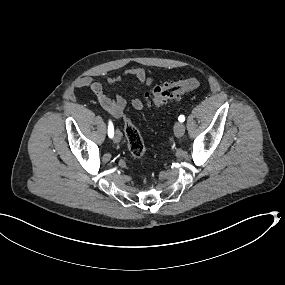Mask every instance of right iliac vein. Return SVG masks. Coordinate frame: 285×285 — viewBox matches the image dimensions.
I'll list each match as a JSON object with an SVG mask.
<instances>
[{
  "instance_id": "right-iliac-vein-1",
  "label": "right iliac vein",
  "mask_w": 285,
  "mask_h": 285,
  "mask_svg": "<svg viewBox=\"0 0 285 285\" xmlns=\"http://www.w3.org/2000/svg\"><path fill=\"white\" fill-rule=\"evenodd\" d=\"M114 142L116 143H119L120 140H121V135H120V132L118 130L115 131V135H114V138H113Z\"/></svg>"
}]
</instances>
